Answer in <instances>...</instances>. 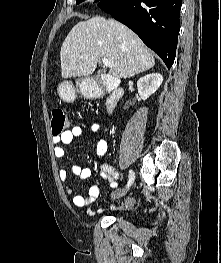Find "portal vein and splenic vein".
Wrapping results in <instances>:
<instances>
[{"instance_id": "portal-vein-and-splenic-vein-1", "label": "portal vein and splenic vein", "mask_w": 221, "mask_h": 263, "mask_svg": "<svg viewBox=\"0 0 221 263\" xmlns=\"http://www.w3.org/2000/svg\"><path fill=\"white\" fill-rule=\"evenodd\" d=\"M102 62L106 67H113L114 63L113 61H110L109 59L103 57Z\"/></svg>"}]
</instances>
